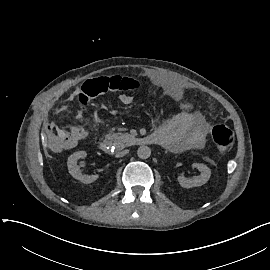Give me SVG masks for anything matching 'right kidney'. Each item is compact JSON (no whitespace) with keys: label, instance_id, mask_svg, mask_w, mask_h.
Here are the masks:
<instances>
[{"label":"right kidney","instance_id":"obj_1","mask_svg":"<svg viewBox=\"0 0 270 270\" xmlns=\"http://www.w3.org/2000/svg\"><path fill=\"white\" fill-rule=\"evenodd\" d=\"M87 156V153L85 151H78L72 154L68 158V169L69 173L75 178L78 179L79 181L83 183H93L99 179V174L95 175H86L80 173V165L78 164V160L80 158H85Z\"/></svg>","mask_w":270,"mask_h":270}]
</instances>
